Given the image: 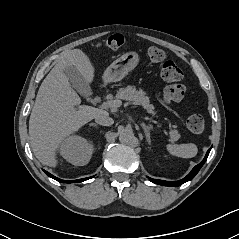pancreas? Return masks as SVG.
Segmentation results:
<instances>
[{"mask_svg": "<svg viewBox=\"0 0 239 239\" xmlns=\"http://www.w3.org/2000/svg\"><path fill=\"white\" fill-rule=\"evenodd\" d=\"M117 99L133 101L137 105L143 106L149 113L155 114L154 106L150 104V100L143 90H137L134 86H127L126 88H120L116 94ZM180 138V134L177 130L170 132V140L172 142L177 141Z\"/></svg>", "mask_w": 239, "mask_h": 239, "instance_id": "1", "label": "pancreas"}]
</instances>
